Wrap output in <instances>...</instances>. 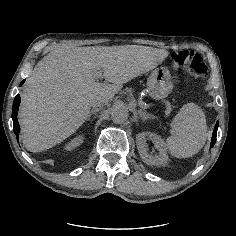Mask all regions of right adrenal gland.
I'll return each mask as SVG.
<instances>
[{
  "instance_id": "1",
  "label": "right adrenal gland",
  "mask_w": 236,
  "mask_h": 236,
  "mask_svg": "<svg viewBox=\"0 0 236 236\" xmlns=\"http://www.w3.org/2000/svg\"><path fill=\"white\" fill-rule=\"evenodd\" d=\"M102 109V107L99 108H92L91 111L88 114V117L86 120H89L91 115L94 114L95 116L97 115V112H99ZM95 118V117H94Z\"/></svg>"
}]
</instances>
